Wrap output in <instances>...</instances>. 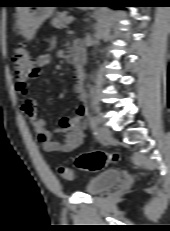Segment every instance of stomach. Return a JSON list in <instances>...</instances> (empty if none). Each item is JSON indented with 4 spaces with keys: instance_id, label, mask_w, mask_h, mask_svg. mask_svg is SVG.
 <instances>
[{
    "instance_id": "1",
    "label": "stomach",
    "mask_w": 170,
    "mask_h": 231,
    "mask_svg": "<svg viewBox=\"0 0 170 231\" xmlns=\"http://www.w3.org/2000/svg\"><path fill=\"white\" fill-rule=\"evenodd\" d=\"M36 4L51 3V1L34 0L30 1ZM55 7H22L17 19V29L19 33L30 40L36 34L38 28L49 19L54 13Z\"/></svg>"
}]
</instances>
